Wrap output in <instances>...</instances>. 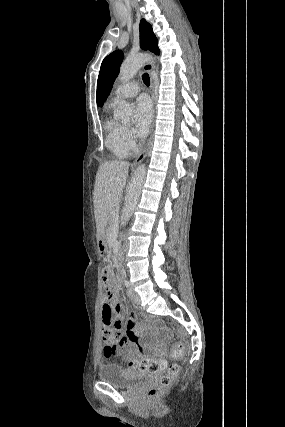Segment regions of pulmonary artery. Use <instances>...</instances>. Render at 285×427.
<instances>
[{
  "mask_svg": "<svg viewBox=\"0 0 285 427\" xmlns=\"http://www.w3.org/2000/svg\"><path fill=\"white\" fill-rule=\"evenodd\" d=\"M140 91L139 83L135 80L126 81L119 85L113 93L112 100L116 102L120 99L136 96Z\"/></svg>",
  "mask_w": 285,
  "mask_h": 427,
  "instance_id": "1",
  "label": "pulmonary artery"
}]
</instances>
